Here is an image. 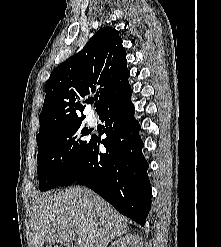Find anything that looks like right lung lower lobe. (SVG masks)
Segmentation results:
<instances>
[{
    "instance_id": "obj_1",
    "label": "right lung lower lobe",
    "mask_w": 221,
    "mask_h": 247,
    "mask_svg": "<svg viewBox=\"0 0 221 247\" xmlns=\"http://www.w3.org/2000/svg\"><path fill=\"white\" fill-rule=\"evenodd\" d=\"M131 94L132 90L101 111L107 137L90 139L83 156L60 186L77 182L91 188L120 213L143 226L151 208V185ZM100 143L106 153L99 151Z\"/></svg>"
}]
</instances>
